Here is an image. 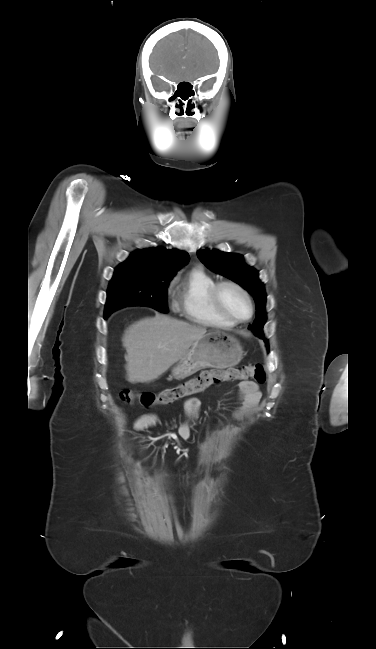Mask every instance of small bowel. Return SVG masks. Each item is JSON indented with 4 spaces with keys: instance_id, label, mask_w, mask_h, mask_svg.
<instances>
[{
    "instance_id": "c3829d8e",
    "label": "small bowel",
    "mask_w": 376,
    "mask_h": 649,
    "mask_svg": "<svg viewBox=\"0 0 376 649\" xmlns=\"http://www.w3.org/2000/svg\"><path fill=\"white\" fill-rule=\"evenodd\" d=\"M261 399L262 392L257 383L254 381H242L239 384L240 410L242 412H248L255 409L259 405ZM183 409L184 421L179 425L175 435L183 440H189L192 436V424L198 419L201 412V401L198 398L187 399L183 403ZM157 423L158 416L156 414H144L135 421L134 428L141 431L153 427ZM211 444L212 441L207 439L204 440L200 446L201 448H209ZM134 467L141 475L136 487V491L138 492L140 487L146 482L147 476L146 471L139 464H134Z\"/></svg>"
}]
</instances>
